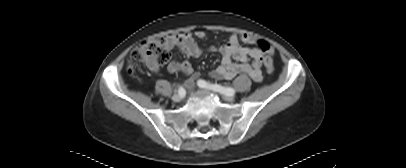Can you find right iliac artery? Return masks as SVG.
<instances>
[{
	"mask_svg": "<svg viewBox=\"0 0 406 168\" xmlns=\"http://www.w3.org/2000/svg\"><path fill=\"white\" fill-rule=\"evenodd\" d=\"M178 93H179L181 96L184 95V93H185L184 88H183V87H179Z\"/></svg>",
	"mask_w": 406,
	"mask_h": 168,
	"instance_id": "1",
	"label": "right iliac artery"
}]
</instances>
